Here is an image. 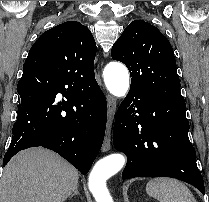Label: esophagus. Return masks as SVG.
Masks as SVG:
<instances>
[{
  "label": "esophagus",
  "mask_w": 209,
  "mask_h": 202,
  "mask_svg": "<svg viewBox=\"0 0 209 202\" xmlns=\"http://www.w3.org/2000/svg\"><path fill=\"white\" fill-rule=\"evenodd\" d=\"M107 124H106V132L105 137L102 145V152L109 151L111 147V130L114 122V117L116 113V100L114 97L107 95Z\"/></svg>",
  "instance_id": "esophagus-1"
}]
</instances>
